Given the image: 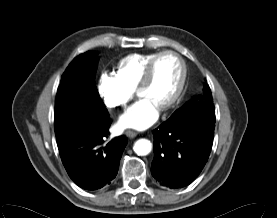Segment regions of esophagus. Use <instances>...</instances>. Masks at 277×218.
I'll use <instances>...</instances> for the list:
<instances>
[{"label":"esophagus","instance_id":"1","mask_svg":"<svg viewBox=\"0 0 277 218\" xmlns=\"http://www.w3.org/2000/svg\"><path fill=\"white\" fill-rule=\"evenodd\" d=\"M125 134L128 138H131V139L135 138L137 136V133L135 131H132V130H127L125 132Z\"/></svg>","mask_w":277,"mask_h":218}]
</instances>
